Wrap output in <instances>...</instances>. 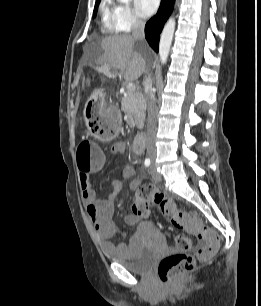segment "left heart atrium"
Listing matches in <instances>:
<instances>
[{
	"label": "left heart atrium",
	"mask_w": 261,
	"mask_h": 306,
	"mask_svg": "<svg viewBox=\"0 0 261 306\" xmlns=\"http://www.w3.org/2000/svg\"><path fill=\"white\" fill-rule=\"evenodd\" d=\"M160 0H135L136 10L141 17L151 16L158 8Z\"/></svg>",
	"instance_id": "39dd6f15"
}]
</instances>
